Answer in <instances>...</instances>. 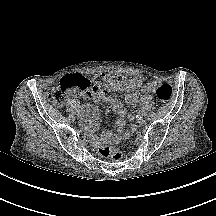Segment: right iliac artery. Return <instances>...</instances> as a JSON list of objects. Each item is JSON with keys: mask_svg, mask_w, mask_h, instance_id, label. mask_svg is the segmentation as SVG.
Wrapping results in <instances>:
<instances>
[{"mask_svg": "<svg viewBox=\"0 0 216 216\" xmlns=\"http://www.w3.org/2000/svg\"><path fill=\"white\" fill-rule=\"evenodd\" d=\"M78 113L83 114V113H84V110H83V109H80Z\"/></svg>", "mask_w": 216, "mask_h": 216, "instance_id": "1", "label": "right iliac artery"}]
</instances>
